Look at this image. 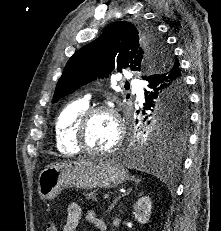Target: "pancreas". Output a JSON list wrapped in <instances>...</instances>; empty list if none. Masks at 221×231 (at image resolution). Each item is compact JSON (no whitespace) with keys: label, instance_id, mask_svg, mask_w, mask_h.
I'll return each mask as SVG.
<instances>
[{"label":"pancreas","instance_id":"obj_1","mask_svg":"<svg viewBox=\"0 0 221 231\" xmlns=\"http://www.w3.org/2000/svg\"><path fill=\"white\" fill-rule=\"evenodd\" d=\"M85 196H86L87 199H92V200H95V201L98 200L96 198V192L95 191H91V192L87 193Z\"/></svg>","mask_w":221,"mask_h":231}]
</instances>
